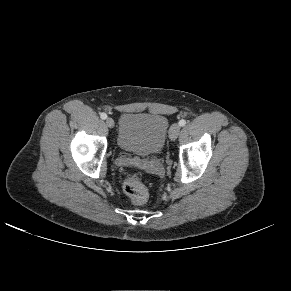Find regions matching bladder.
<instances>
[{
	"label": "bladder",
	"mask_w": 291,
	"mask_h": 291,
	"mask_svg": "<svg viewBox=\"0 0 291 291\" xmlns=\"http://www.w3.org/2000/svg\"><path fill=\"white\" fill-rule=\"evenodd\" d=\"M168 130L169 122L164 115L125 113L119 121L117 145L128 153L152 156L162 150Z\"/></svg>",
	"instance_id": "31cf9c89"
}]
</instances>
